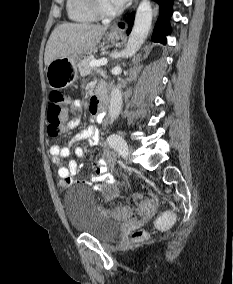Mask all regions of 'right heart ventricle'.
<instances>
[{
    "instance_id": "obj_1",
    "label": "right heart ventricle",
    "mask_w": 233,
    "mask_h": 284,
    "mask_svg": "<svg viewBox=\"0 0 233 284\" xmlns=\"http://www.w3.org/2000/svg\"><path fill=\"white\" fill-rule=\"evenodd\" d=\"M67 15L70 20L79 23H92L98 16L92 9L91 0H67Z\"/></svg>"
}]
</instances>
